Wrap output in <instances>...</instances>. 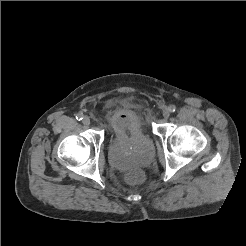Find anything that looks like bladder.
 <instances>
[{"label": "bladder", "instance_id": "31cf9c89", "mask_svg": "<svg viewBox=\"0 0 246 246\" xmlns=\"http://www.w3.org/2000/svg\"><path fill=\"white\" fill-rule=\"evenodd\" d=\"M109 126L113 139L142 138L148 136L145 120L140 112L132 108L113 111L109 118ZM154 149L150 145L144 150L129 155L111 151L110 163L117 169H128L132 166H146L153 160Z\"/></svg>", "mask_w": 246, "mask_h": 246}]
</instances>
